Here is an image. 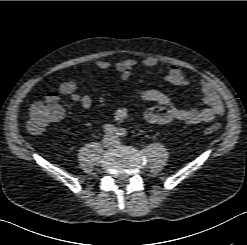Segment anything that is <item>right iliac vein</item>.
<instances>
[{
    "mask_svg": "<svg viewBox=\"0 0 247 245\" xmlns=\"http://www.w3.org/2000/svg\"><path fill=\"white\" fill-rule=\"evenodd\" d=\"M104 144L110 145L112 143V138L110 136H106L103 140Z\"/></svg>",
    "mask_w": 247,
    "mask_h": 245,
    "instance_id": "63e3f726",
    "label": "right iliac vein"
}]
</instances>
